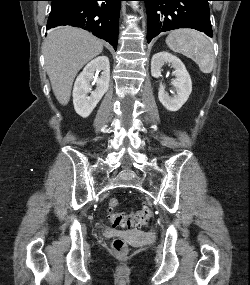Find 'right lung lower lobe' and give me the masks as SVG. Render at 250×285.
I'll return each instance as SVG.
<instances>
[{"label": "right lung lower lobe", "mask_w": 250, "mask_h": 285, "mask_svg": "<svg viewBox=\"0 0 250 285\" xmlns=\"http://www.w3.org/2000/svg\"><path fill=\"white\" fill-rule=\"evenodd\" d=\"M47 29L71 25L91 31L114 48L118 41L120 3L123 0H50Z\"/></svg>", "instance_id": "obj_1"}]
</instances>
